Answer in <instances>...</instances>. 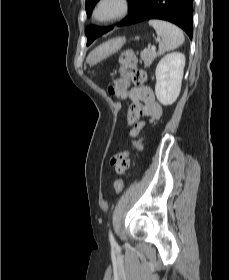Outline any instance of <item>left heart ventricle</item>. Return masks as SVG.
<instances>
[{
  "label": "left heart ventricle",
  "mask_w": 229,
  "mask_h": 280,
  "mask_svg": "<svg viewBox=\"0 0 229 280\" xmlns=\"http://www.w3.org/2000/svg\"><path fill=\"white\" fill-rule=\"evenodd\" d=\"M112 9H113V7L111 5L107 6L104 9H102L101 14L106 15V14L110 13Z\"/></svg>",
  "instance_id": "b2bd125f"
}]
</instances>
